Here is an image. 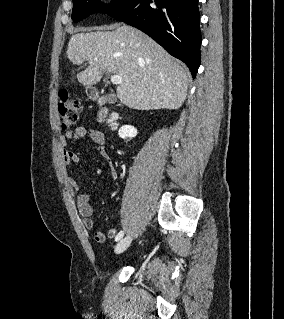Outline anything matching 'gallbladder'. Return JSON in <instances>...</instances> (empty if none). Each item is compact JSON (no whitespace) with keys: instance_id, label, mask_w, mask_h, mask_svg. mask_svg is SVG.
Listing matches in <instances>:
<instances>
[{"instance_id":"1","label":"gallbladder","mask_w":284,"mask_h":319,"mask_svg":"<svg viewBox=\"0 0 284 319\" xmlns=\"http://www.w3.org/2000/svg\"><path fill=\"white\" fill-rule=\"evenodd\" d=\"M108 101H110V102L114 101V97L112 95H109L108 96Z\"/></svg>"}]
</instances>
